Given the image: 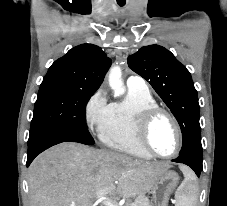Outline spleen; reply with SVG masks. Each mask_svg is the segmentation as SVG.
I'll return each instance as SVG.
<instances>
[{"label": "spleen", "mask_w": 227, "mask_h": 206, "mask_svg": "<svg viewBox=\"0 0 227 206\" xmlns=\"http://www.w3.org/2000/svg\"><path fill=\"white\" fill-rule=\"evenodd\" d=\"M185 179L176 192V206H194L197 186L194 178L187 170H183Z\"/></svg>", "instance_id": "obj_1"}]
</instances>
